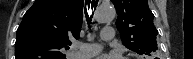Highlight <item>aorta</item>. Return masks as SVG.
Segmentation results:
<instances>
[{"instance_id": "obj_1", "label": "aorta", "mask_w": 193, "mask_h": 59, "mask_svg": "<svg viewBox=\"0 0 193 59\" xmlns=\"http://www.w3.org/2000/svg\"><path fill=\"white\" fill-rule=\"evenodd\" d=\"M116 11L110 4L100 5L95 12V20L99 23H107L114 20Z\"/></svg>"}]
</instances>
